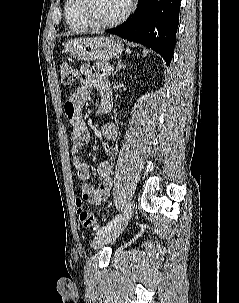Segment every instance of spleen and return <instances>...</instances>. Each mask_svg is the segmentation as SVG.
<instances>
[{"label":"spleen","instance_id":"spleen-1","mask_svg":"<svg viewBox=\"0 0 239 303\" xmlns=\"http://www.w3.org/2000/svg\"><path fill=\"white\" fill-rule=\"evenodd\" d=\"M127 52L129 53V52H130V50H129V49H127Z\"/></svg>","mask_w":239,"mask_h":303}]
</instances>
